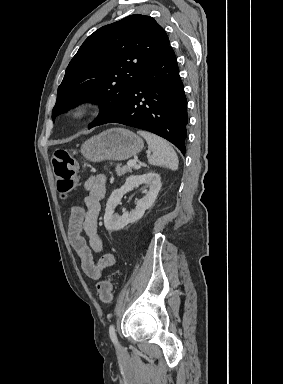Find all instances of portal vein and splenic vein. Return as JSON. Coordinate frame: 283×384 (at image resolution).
Returning <instances> with one entry per match:
<instances>
[{
  "mask_svg": "<svg viewBox=\"0 0 283 384\" xmlns=\"http://www.w3.org/2000/svg\"><path fill=\"white\" fill-rule=\"evenodd\" d=\"M148 154H150V152H148ZM136 164H137L136 160H129V162H127V166H131V168L132 166H136Z\"/></svg>",
  "mask_w": 283,
  "mask_h": 384,
  "instance_id": "portal-vein-and-splenic-vein-1",
  "label": "portal vein and splenic vein"
}]
</instances>
